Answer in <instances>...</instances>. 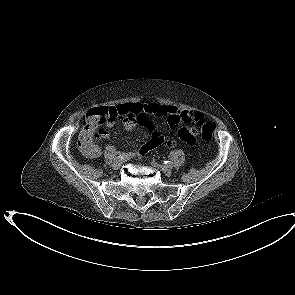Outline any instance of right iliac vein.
Wrapping results in <instances>:
<instances>
[{
	"label": "right iliac vein",
	"instance_id": "right-iliac-vein-1",
	"mask_svg": "<svg viewBox=\"0 0 295 295\" xmlns=\"http://www.w3.org/2000/svg\"><path fill=\"white\" fill-rule=\"evenodd\" d=\"M122 166V162L121 161H115L112 165V167L115 169V170H118L120 169Z\"/></svg>",
	"mask_w": 295,
	"mask_h": 295
}]
</instances>
